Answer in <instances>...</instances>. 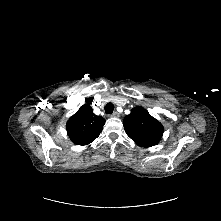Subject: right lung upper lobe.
Instances as JSON below:
<instances>
[{
    "label": "right lung upper lobe",
    "mask_w": 221,
    "mask_h": 221,
    "mask_svg": "<svg viewBox=\"0 0 221 221\" xmlns=\"http://www.w3.org/2000/svg\"><path fill=\"white\" fill-rule=\"evenodd\" d=\"M105 119L93 113L89 104L82 105L66 123L68 136L76 145H88L101 133Z\"/></svg>",
    "instance_id": "right-lung-upper-lobe-1"
}]
</instances>
